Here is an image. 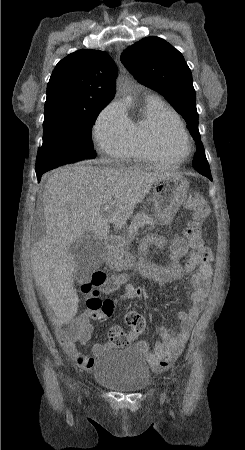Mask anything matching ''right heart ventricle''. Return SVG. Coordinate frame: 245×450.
<instances>
[{"label":"right heart ventricle","instance_id":"e07e8e85","mask_svg":"<svg viewBox=\"0 0 245 450\" xmlns=\"http://www.w3.org/2000/svg\"><path fill=\"white\" fill-rule=\"evenodd\" d=\"M143 112L136 120H131V148L129 157L134 162L158 161L169 163L172 157L159 151L153 144V133L157 123L171 117L182 123L179 115L158 95L148 93L143 96ZM183 124V123H182Z\"/></svg>","mask_w":245,"mask_h":450}]
</instances>
